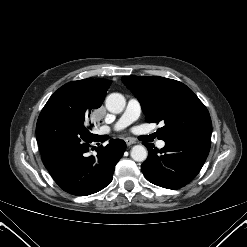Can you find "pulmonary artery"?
Wrapping results in <instances>:
<instances>
[{"mask_svg": "<svg viewBox=\"0 0 247 247\" xmlns=\"http://www.w3.org/2000/svg\"><path fill=\"white\" fill-rule=\"evenodd\" d=\"M141 113V105L139 101L135 98L129 99L126 109L118 119V121L114 125L115 130H122L134 121H136ZM157 146L159 148H163L165 146V142L163 140H159L157 142Z\"/></svg>", "mask_w": 247, "mask_h": 247, "instance_id": "1", "label": "pulmonary artery"}]
</instances>
